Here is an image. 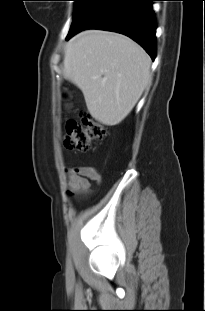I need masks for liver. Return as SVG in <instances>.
I'll return each mask as SVG.
<instances>
[{"instance_id":"liver-1","label":"liver","mask_w":205,"mask_h":311,"mask_svg":"<svg viewBox=\"0 0 205 311\" xmlns=\"http://www.w3.org/2000/svg\"><path fill=\"white\" fill-rule=\"evenodd\" d=\"M150 65L148 54L130 38L88 30L67 43L63 75L82 91L90 115L114 126L150 84Z\"/></svg>"}]
</instances>
